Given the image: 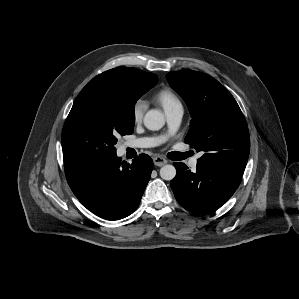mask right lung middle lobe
Listing matches in <instances>:
<instances>
[{
  "instance_id": "obj_1",
  "label": "right lung middle lobe",
  "mask_w": 299,
  "mask_h": 299,
  "mask_svg": "<svg viewBox=\"0 0 299 299\" xmlns=\"http://www.w3.org/2000/svg\"><path fill=\"white\" fill-rule=\"evenodd\" d=\"M142 94L128 93L109 79L93 78L79 93L62 131L64 155L110 157L119 135H130L134 106Z\"/></svg>"
}]
</instances>
